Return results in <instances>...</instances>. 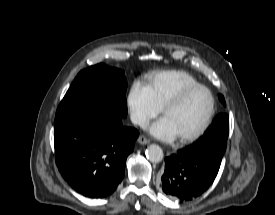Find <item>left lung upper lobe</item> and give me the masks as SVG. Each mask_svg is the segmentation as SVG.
Here are the masks:
<instances>
[{
	"instance_id": "left-lung-upper-lobe-1",
	"label": "left lung upper lobe",
	"mask_w": 275,
	"mask_h": 215,
	"mask_svg": "<svg viewBox=\"0 0 275 215\" xmlns=\"http://www.w3.org/2000/svg\"><path fill=\"white\" fill-rule=\"evenodd\" d=\"M219 99L225 105L222 95H219ZM228 135L229 116L226 113H220L216 116L207 132L196 143L185 150L194 156L208 158L221 164L226 150Z\"/></svg>"
}]
</instances>
